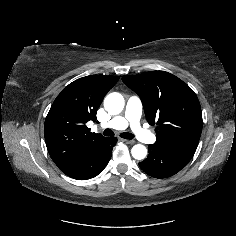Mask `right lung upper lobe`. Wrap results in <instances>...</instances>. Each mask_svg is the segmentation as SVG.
I'll return each instance as SVG.
<instances>
[{
	"label": "right lung upper lobe",
	"mask_w": 236,
	"mask_h": 236,
	"mask_svg": "<svg viewBox=\"0 0 236 236\" xmlns=\"http://www.w3.org/2000/svg\"><path fill=\"white\" fill-rule=\"evenodd\" d=\"M118 76L91 75L66 86L53 102L44 125L48 152L63 172L75 168L103 139L86 123L96 120L97 109Z\"/></svg>",
	"instance_id": "1"
}]
</instances>
